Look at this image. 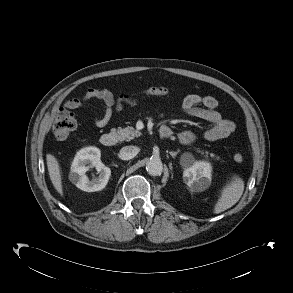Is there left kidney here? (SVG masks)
Returning a JSON list of instances; mask_svg holds the SVG:
<instances>
[{
  "label": "left kidney",
  "instance_id": "5707ae66",
  "mask_svg": "<svg viewBox=\"0 0 293 293\" xmlns=\"http://www.w3.org/2000/svg\"><path fill=\"white\" fill-rule=\"evenodd\" d=\"M211 171L210 163L192 161L184 168L183 180L189 186L191 192H201L211 184Z\"/></svg>",
  "mask_w": 293,
  "mask_h": 293
}]
</instances>
